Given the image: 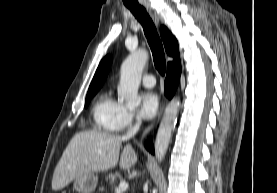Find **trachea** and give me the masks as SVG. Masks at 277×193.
<instances>
[{"mask_svg":"<svg viewBox=\"0 0 277 193\" xmlns=\"http://www.w3.org/2000/svg\"><path fill=\"white\" fill-rule=\"evenodd\" d=\"M127 8L132 12L135 18L142 25L144 34L152 51L154 65L158 72L161 75H164L166 72V60L164 49L152 19L150 18L146 9L143 6L127 5Z\"/></svg>","mask_w":277,"mask_h":193,"instance_id":"trachea-1","label":"trachea"}]
</instances>
